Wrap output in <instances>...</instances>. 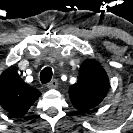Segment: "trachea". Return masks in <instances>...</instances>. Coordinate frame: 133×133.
I'll return each instance as SVG.
<instances>
[{
    "mask_svg": "<svg viewBox=\"0 0 133 133\" xmlns=\"http://www.w3.org/2000/svg\"><path fill=\"white\" fill-rule=\"evenodd\" d=\"M52 78V69L50 67L44 68L40 73V80L42 84L48 83Z\"/></svg>",
    "mask_w": 133,
    "mask_h": 133,
    "instance_id": "1",
    "label": "trachea"
}]
</instances>
